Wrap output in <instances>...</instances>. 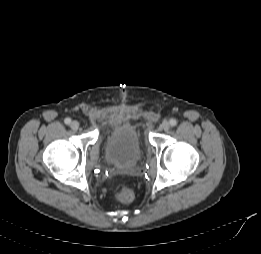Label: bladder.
Instances as JSON below:
<instances>
[{
  "label": "bladder",
  "instance_id": "31cf9c89",
  "mask_svg": "<svg viewBox=\"0 0 261 254\" xmlns=\"http://www.w3.org/2000/svg\"><path fill=\"white\" fill-rule=\"evenodd\" d=\"M108 163L127 169L134 166L142 155V140L137 127L130 123L117 125L105 140Z\"/></svg>",
  "mask_w": 261,
  "mask_h": 254
}]
</instances>
